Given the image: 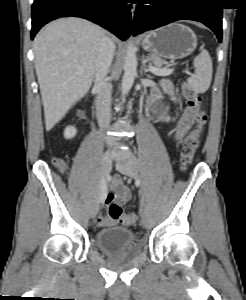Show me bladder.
<instances>
[{
    "mask_svg": "<svg viewBox=\"0 0 246 300\" xmlns=\"http://www.w3.org/2000/svg\"><path fill=\"white\" fill-rule=\"evenodd\" d=\"M96 246L106 256L116 261H126L141 251L135 233L124 227L114 226L99 230L95 235Z\"/></svg>",
    "mask_w": 246,
    "mask_h": 300,
    "instance_id": "31cf9c89",
    "label": "bladder"
}]
</instances>
